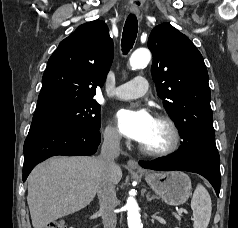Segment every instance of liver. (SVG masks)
I'll list each match as a JSON object with an SVG mask.
<instances>
[{"label":"liver","instance_id":"1","mask_svg":"<svg viewBox=\"0 0 238 228\" xmlns=\"http://www.w3.org/2000/svg\"><path fill=\"white\" fill-rule=\"evenodd\" d=\"M114 185L122 178L117 165ZM99 167L96 157H53L36 166L28 177L27 202L34 228L75 213L93 200L97 192Z\"/></svg>","mask_w":238,"mask_h":228}]
</instances>
